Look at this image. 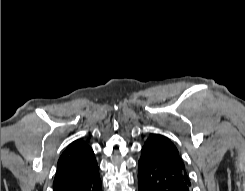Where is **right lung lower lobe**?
I'll return each instance as SVG.
<instances>
[{
	"label": "right lung lower lobe",
	"instance_id": "98d812e1",
	"mask_svg": "<svg viewBox=\"0 0 245 191\" xmlns=\"http://www.w3.org/2000/svg\"><path fill=\"white\" fill-rule=\"evenodd\" d=\"M54 191H102L99 167L96 165L88 173L55 187Z\"/></svg>",
	"mask_w": 245,
	"mask_h": 191
}]
</instances>
